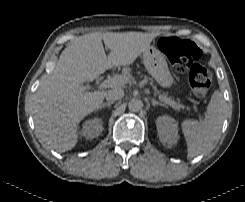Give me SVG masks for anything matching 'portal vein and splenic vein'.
I'll return each instance as SVG.
<instances>
[{
  "mask_svg": "<svg viewBox=\"0 0 245 202\" xmlns=\"http://www.w3.org/2000/svg\"><path fill=\"white\" fill-rule=\"evenodd\" d=\"M129 81V77L126 75H115L111 78H108L107 80L103 81L98 88L99 89H106V88H110V87H115V86H119V85H123L125 83H127ZM83 90H85V87H82ZM159 99L172 106L173 108H175V102L173 100H171L170 98H167L163 95H159Z\"/></svg>",
  "mask_w": 245,
  "mask_h": 202,
  "instance_id": "portal-vein-and-splenic-vein-1",
  "label": "portal vein and splenic vein"
}]
</instances>
